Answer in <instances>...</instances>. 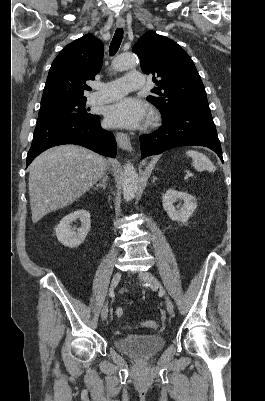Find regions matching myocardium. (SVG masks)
<instances>
[{
	"label": "myocardium",
	"instance_id": "myocardium-1",
	"mask_svg": "<svg viewBox=\"0 0 265 401\" xmlns=\"http://www.w3.org/2000/svg\"><path fill=\"white\" fill-rule=\"evenodd\" d=\"M159 119V116L156 112H152L150 115V123L155 124Z\"/></svg>",
	"mask_w": 265,
	"mask_h": 401
}]
</instances>
